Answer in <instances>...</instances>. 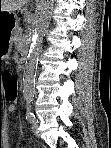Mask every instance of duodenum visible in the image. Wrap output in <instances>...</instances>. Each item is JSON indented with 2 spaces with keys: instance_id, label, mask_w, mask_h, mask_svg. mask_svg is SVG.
Segmentation results:
<instances>
[{
  "instance_id": "obj_1",
  "label": "duodenum",
  "mask_w": 111,
  "mask_h": 148,
  "mask_svg": "<svg viewBox=\"0 0 111 148\" xmlns=\"http://www.w3.org/2000/svg\"><path fill=\"white\" fill-rule=\"evenodd\" d=\"M20 63L23 67L26 65V58L23 55H20Z\"/></svg>"
}]
</instances>
